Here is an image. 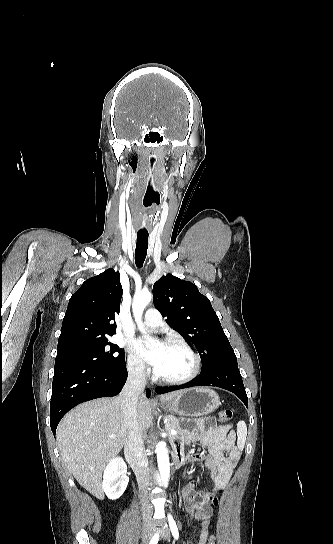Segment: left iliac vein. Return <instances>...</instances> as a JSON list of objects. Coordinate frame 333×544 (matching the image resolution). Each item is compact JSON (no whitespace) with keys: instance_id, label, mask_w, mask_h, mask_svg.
I'll use <instances>...</instances> for the list:
<instances>
[{"instance_id":"1","label":"left iliac vein","mask_w":333,"mask_h":544,"mask_svg":"<svg viewBox=\"0 0 333 544\" xmlns=\"http://www.w3.org/2000/svg\"><path fill=\"white\" fill-rule=\"evenodd\" d=\"M160 537L163 539H169L170 537V531L167 525L163 522V527L160 530Z\"/></svg>"}]
</instances>
